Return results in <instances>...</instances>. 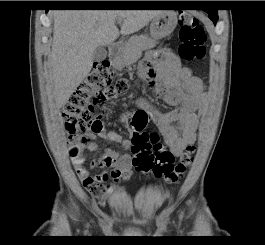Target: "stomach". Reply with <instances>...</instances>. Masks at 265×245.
Returning <instances> with one entry per match:
<instances>
[{
  "instance_id": "stomach-1",
  "label": "stomach",
  "mask_w": 265,
  "mask_h": 245,
  "mask_svg": "<svg viewBox=\"0 0 265 245\" xmlns=\"http://www.w3.org/2000/svg\"><path fill=\"white\" fill-rule=\"evenodd\" d=\"M177 25V14L173 11H165L152 19L150 35L154 39L169 36Z\"/></svg>"
}]
</instances>
